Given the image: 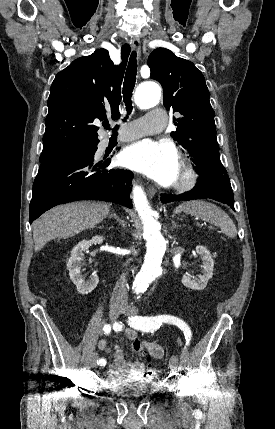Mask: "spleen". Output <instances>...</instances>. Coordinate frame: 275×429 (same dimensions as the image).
<instances>
[{"instance_id":"spleen-1","label":"spleen","mask_w":275,"mask_h":429,"mask_svg":"<svg viewBox=\"0 0 275 429\" xmlns=\"http://www.w3.org/2000/svg\"><path fill=\"white\" fill-rule=\"evenodd\" d=\"M175 213H186L220 227L229 238H235L237 229L228 214L220 207L201 200L188 201L180 204Z\"/></svg>"}]
</instances>
